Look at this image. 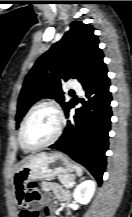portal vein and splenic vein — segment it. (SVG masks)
<instances>
[{"label":"portal vein and splenic vein","instance_id":"portal-vein-and-splenic-vein-1","mask_svg":"<svg viewBox=\"0 0 132 217\" xmlns=\"http://www.w3.org/2000/svg\"><path fill=\"white\" fill-rule=\"evenodd\" d=\"M74 183H71L70 185L73 186Z\"/></svg>","mask_w":132,"mask_h":217}]
</instances>
